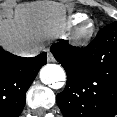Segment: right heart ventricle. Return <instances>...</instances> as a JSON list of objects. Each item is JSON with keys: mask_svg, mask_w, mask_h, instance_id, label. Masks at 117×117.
<instances>
[{"mask_svg": "<svg viewBox=\"0 0 117 117\" xmlns=\"http://www.w3.org/2000/svg\"><path fill=\"white\" fill-rule=\"evenodd\" d=\"M84 18H85V16L83 14H77L73 17L72 23L77 24V23L81 22Z\"/></svg>", "mask_w": 117, "mask_h": 117, "instance_id": "e07e8e85", "label": "right heart ventricle"}]
</instances>
